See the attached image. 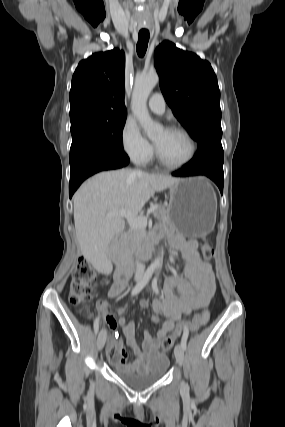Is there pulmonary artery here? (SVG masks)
<instances>
[{
  "label": "pulmonary artery",
  "mask_w": 285,
  "mask_h": 427,
  "mask_svg": "<svg viewBox=\"0 0 285 427\" xmlns=\"http://www.w3.org/2000/svg\"><path fill=\"white\" fill-rule=\"evenodd\" d=\"M148 106L154 113L162 114L165 111L166 103L161 93H154L149 101Z\"/></svg>",
  "instance_id": "e3ab8cb5"
}]
</instances>
